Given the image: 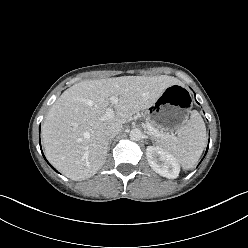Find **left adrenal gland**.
I'll list each match as a JSON object with an SVG mask.
<instances>
[{"label": "left adrenal gland", "mask_w": 248, "mask_h": 248, "mask_svg": "<svg viewBox=\"0 0 248 248\" xmlns=\"http://www.w3.org/2000/svg\"><path fill=\"white\" fill-rule=\"evenodd\" d=\"M152 142L154 141V138H152V137H148Z\"/></svg>", "instance_id": "left-adrenal-gland-1"}]
</instances>
